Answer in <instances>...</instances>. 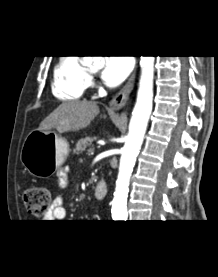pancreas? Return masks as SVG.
Wrapping results in <instances>:
<instances>
[{"mask_svg":"<svg viewBox=\"0 0 218 277\" xmlns=\"http://www.w3.org/2000/svg\"><path fill=\"white\" fill-rule=\"evenodd\" d=\"M93 138L91 137H86L80 139L77 143L76 146L73 150L75 154H80L81 152L85 151L87 147H90L92 145Z\"/></svg>","mask_w":218,"mask_h":277,"instance_id":"cf45deb5","label":"pancreas"}]
</instances>
